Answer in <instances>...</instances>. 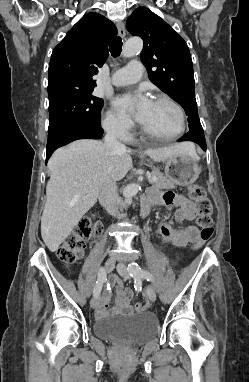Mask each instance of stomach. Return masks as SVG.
Wrapping results in <instances>:
<instances>
[{
	"label": "stomach",
	"instance_id": "0dacf381",
	"mask_svg": "<svg viewBox=\"0 0 249 382\" xmlns=\"http://www.w3.org/2000/svg\"><path fill=\"white\" fill-rule=\"evenodd\" d=\"M165 173L168 178L174 180L178 185L186 186L197 180L200 168L197 159L192 155L177 153L166 160Z\"/></svg>",
	"mask_w": 249,
	"mask_h": 382
}]
</instances>
